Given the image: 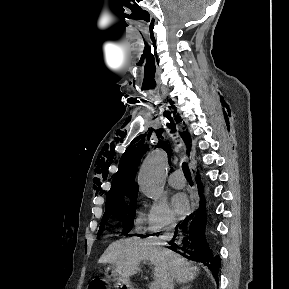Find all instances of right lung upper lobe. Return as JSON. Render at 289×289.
I'll use <instances>...</instances> for the list:
<instances>
[{
    "label": "right lung upper lobe",
    "mask_w": 289,
    "mask_h": 289,
    "mask_svg": "<svg viewBox=\"0 0 289 289\" xmlns=\"http://www.w3.org/2000/svg\"><path fill=\"white\" fill-rule=\"evenodd\" d=\"M181 136L189 150L191 141L189 133L186 132L184 135L181 133ZM147 149L148 146L141 142L133 145L131 148H127L126 152L122 155L118 172L115 174L112 187L107 194L106 203H114L137 196L134 174L141 157Z\"/></svg>",
    "instance_id": "right-lung-upper-lobe-1"
}]
</instances>
